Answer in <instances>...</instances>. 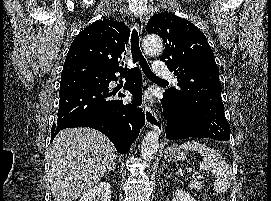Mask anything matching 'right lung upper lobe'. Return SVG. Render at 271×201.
Masks as SVG:
<instances>
[{
  "mask_svg": "<svg viewBox=\"0 0 271 201\" xmlns=\"http://www.w3.org/2000/svg\"><path fill=\"white\" fill-rule=\"evenodd\" d=\"M130 29L118 20L95 21L72 42L65 63L80 60L111 70H124L119 60L128 43Z\"/></svg>",
  "mask_w": 271,
  "mask_h": 201,
  "instance_id": "1",
  "label": "right lung upper lobe"
}]
</instances>
